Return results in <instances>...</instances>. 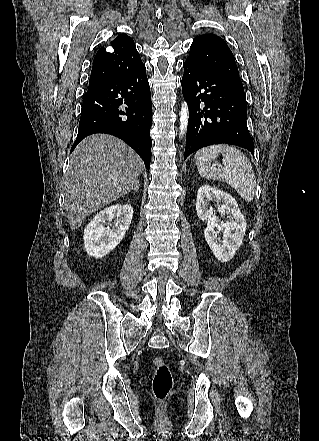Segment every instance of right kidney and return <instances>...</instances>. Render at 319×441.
<instances>
[{
    "label": "right kidney",
    "instance_id": "obj_1",
    "mask_svg": "<svg viewBox=\"0 0 319 441\" xmlns=\"http://www.w3.org/2000/svg\"><path fill=\"white\" fill-rule=\"evenodd\" d=\"M132 217L133 208L129 204H115L98 213L84 229L87 254L102 258L115 249L124 238ZM110 224H113L112 229Z\"/></svg>",
    "mask_w": 319,
    "mask_h": 441
}]
</instances>
